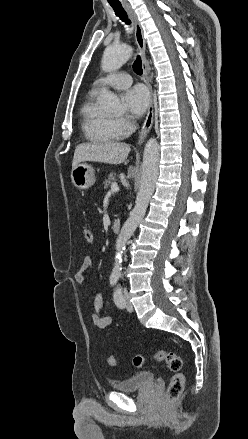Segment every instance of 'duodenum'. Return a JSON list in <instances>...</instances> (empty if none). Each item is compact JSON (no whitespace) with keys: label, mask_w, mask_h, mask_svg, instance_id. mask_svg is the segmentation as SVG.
I'll return each instance as SVG.
<instances>
[{"label":"duodenum","mask_w":248,"mask_h":439,"mask_svg":"<svg viewBox=\"0 0 248 439\" xmlns=\"http://www.w3.org/2000/svg\"><path fill=\"white\" fill-rule=\"evenodd\" d=\"M121 227H122V221H121L119 218H116V219L112 222V226H111L113 232H115V233L120 232Z\"/></svg>","instance_id":"1"}]
</instances>
